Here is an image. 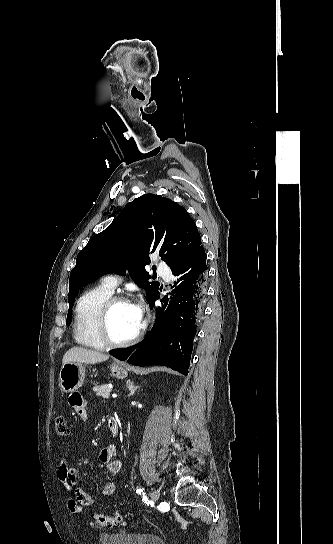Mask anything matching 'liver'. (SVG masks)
I'll return each instance as SVG.
<instances>
[{"label": "liver", "instance_id": "1", "mask_svg": "<svg viewBox=\"0 0 333 544\" xmlns=\"http://www.w3.org/2000/svg\"><path fill=\"white\" fill-rule=\"evenodd\" d=\"M109 359V355L99 351L89 350L82 347H72L63 356L62 364L68 362H80L86 364H96Z\"/></svg>", "mask_w": 333, "mask_h": 544}]
</instances>
